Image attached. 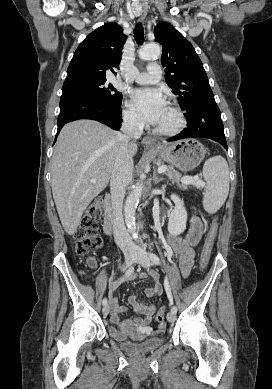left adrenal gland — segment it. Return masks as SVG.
I'll list each match as a JSON object with an SVG mask.
<instances>
[{
	"label": "left adrenal gland",
	"mask_w": 272,
	"mask_h": 389,
	"mask_svg": "<svg viewBox=\"0 0 272 389\" xmlns=\"http://www.w3.org/2000/svg\"><path fill=\"white\" fill-rule=\"evenodd\" d=\"M164 180V178H158L156 172L153 175V181L155 184H158L160 181Z\"/></svg>",
	"instance_id": "left-adrenal-gland-1"
}]
</instances>
